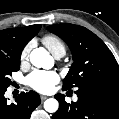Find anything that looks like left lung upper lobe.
Listing matches in <instances>:
<instances>
[{
	"instance_id": "1",
	"label": "left lung upper lobe",
	"mask_w": 119,
	"mask_h": 119,
	"mask_svg": "<svg viewBox=\"0 0 119 119\" xmlns=\"http://www.w3.org/2000/svg\"><path fill=\"white\" fill-rule=\"evenodd\" d=\"M48 30L69 46L73 64L63 80V89L99 86L119 87V66L104 42L85 27L55 24Z\"/></svg>"
}]
</instances>
